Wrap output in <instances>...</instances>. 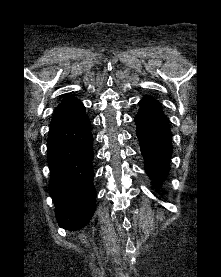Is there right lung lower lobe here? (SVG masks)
<instances>
[{"mask_svg":"<svg viewBox=\"0 0 221 277\" xmlns=\"http://www.w3.org/2000/svg\"><path fill=\"white\" fill-rule=\"evenodd\" d=\"M92 141L84 105L76 97H65L54 111L47 144L49 191L57 222L68 230L85 226L95 210Z\"/></svg>","mask_w":221,"mask_h":277,"instance_id":"right-lung-lower-lobe-1","label":"right lung lower lobe"}]
</instances>
